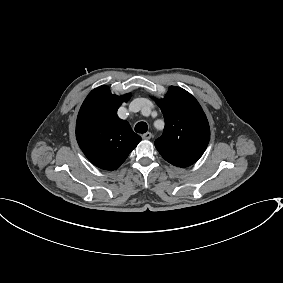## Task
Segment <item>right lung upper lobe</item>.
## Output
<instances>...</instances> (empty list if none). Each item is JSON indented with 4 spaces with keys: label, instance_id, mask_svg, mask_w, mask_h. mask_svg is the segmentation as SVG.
<instances>
[{
    "label": "right lung upper lobe",
    "instance_id": "obj_1",
    "mask_svg": "<svg viewBox=\"0 0 283 283\" xmlns=\"http://www.w3.org/2000/svg\"><path fill=\"white\" fill-rule=\"evenodd\" d=\"M130 96L113 95L102 85L89 93L80 108L76 123L77 142L85 156L101 169L119 168L141 141L128 122L117 116L118 108Z\"/></svg>",
    "mask_w": 283,
    "mask_h": 283
}]
</instances>
